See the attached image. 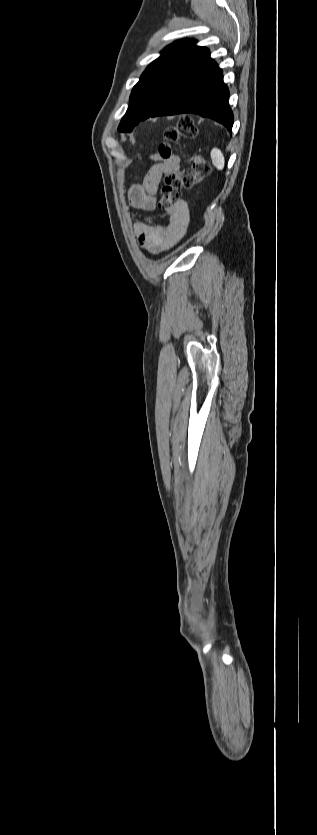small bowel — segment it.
<instances>
[{
	"label": "small bowel",
	"mask_w": 317,
	"mask_h": 835,
	"mask_svg": "<svg viewBox=\"0 0 317 835\" xmlns=\"http://www.w3.org/2000/svg\"><path fill=\"white\" fill-rule=\"evenodd\" d=\"M151 159L153 164L144 177L143 183H131L126 190L130 205L145 212H152L156 209V195L163 177L168 173L177 172L180 168V158L177 156L165 159L153 154ZM187 225V209L181 203L174 209L166 223L151 226L136 222L133 229L139 245L148 252L157 254L173 247L185 235Z\"/></svg>",
	"instance_id": "small-bowel-1"
}]
</instances>
